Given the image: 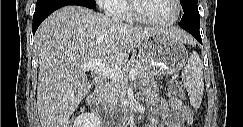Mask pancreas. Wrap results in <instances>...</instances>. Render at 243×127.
Listing matches in <instances>:
<instances>
[{"mask_svg": "<svg viewBox=\"0 0 243 127\" xmlns=\"http://www.w3.org/2000/svg\"><path fill=\"white\" fill-rule=\"evenodd\" d=\"M132 69L137 71L136 78L138 79L148 80L152 77L150 70L143 66L140 61L131 60L122 68L125 74ZM125 95L126 82L121 80H111L101 93V101L108 109L113 110L120 105V102L125 98Z\"/></svg>", "mask_w": 243, "mask_h": 127, "instance_id": "pancreas-1", "label": "pancreas"}]
</instances>
